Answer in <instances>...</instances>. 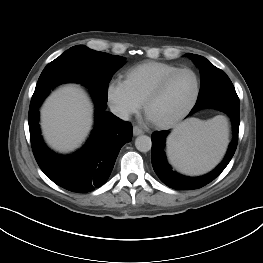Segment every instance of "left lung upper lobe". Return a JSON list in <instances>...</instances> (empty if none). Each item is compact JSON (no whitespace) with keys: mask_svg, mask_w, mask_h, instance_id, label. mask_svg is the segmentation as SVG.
<instances>
[{"mask_svg":"<svg viewBox=\"0 0 263 263\" xmlns=\"http://www.w3.org/2000/svg\"><path fill=\"white\" fill-rule=\"evenodd\" d=\"M187 56L194 61L201 71V88L198 99H202L215 92L235 90L226 73L215 67L206 58L190 53Z\"/></svg>","mask_w":263,"mask_h":263,"instance_id":"1","label":"left lung upper lobe"}]
</instances>
